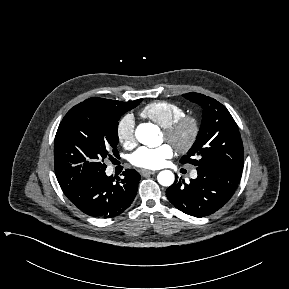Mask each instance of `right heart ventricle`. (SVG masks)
Segmentation results:
<instances>
[{"label": "right heart ventricle", "mask_w": 289, "mask_h": 289, "mask_svg": "<svg viewBox=\"0 0 289 289\" xmlns=\"http://www.w3.org/2000/svg\"><path fill=\"white\" fill-rule=\"evenodd\" d=\"M140 114L160 127L165 128L184 115L185 110L182 106L173 102L154 101L147 104Z\"/></svg>", "instance_id": "right-heart-ventricle-1"}]
</instances>
